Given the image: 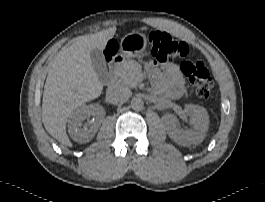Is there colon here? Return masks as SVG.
Instances as JSON below:
<instances>
[{
  "mask_svg": "<svg viewBox=\"0 0 265 202\" xmlns=\"http://www.w3.org/2000/svg\"><path fill=\"white\" fill-rule=\"evenodd\" d=\"M151 54L158 63L173 58L184 59L180 63V71L188 78L196 94L201 98H208L212 91V79L200 61L188 60L189 46L186 42L174 38L165 31H153L148 37ZM117 52V45L111 43L107 46L106 54L109 58Z\"/></svg>",
  "mask_w": 265,
  "mask_h": 202,
  "instance_id": "5ec220e1",
  "label": "colon"
}]
</instances>
